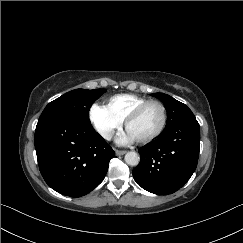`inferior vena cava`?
<instances>
[{"label": "inferior vena cava", "mask_w": 243, "mask_h": 243, "mask_svg": "<svg viewBox=\"0 0 243 243\" xmlns=\"http://www.w3.org/2000/svg\"><path fill=\"white\" fill-rule=\"evenodd\" d=\"M112 136H113V132H112V131H105V132L103 133V137H104L105 139H107V140H110V139L112 138Z\"/></svg>", "instance_id": "602c4592"}]
</instances>
